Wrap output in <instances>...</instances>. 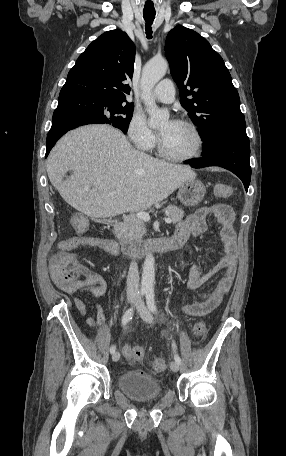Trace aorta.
<instances>
[{"instance_id":"1","label":"aorta","mask_w":286,"mask_h":456,"mask_svg":"<svg viewBox=\"0 0 286 456\" xmlns=\"http://www.w3.org/2000/svg\"><path fill=\"white\" fill-rule=\"evenodd\" d=\"M168 69V63L164 58L151 59L142 70L141 86L142 99L150 115L149 125L158 126L169 119V112L160 109L151 95L153 87L164 77ZM155 284V259L148 254L144 260L141 289L153 291Z\"/></svg>"}]
</instances>
